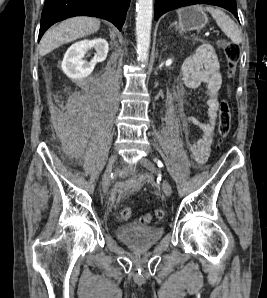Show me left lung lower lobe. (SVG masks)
Here are the masks:
<instances>
[{"mask_svg": "<svg viewBox=\"0 0 267 298\" xmlns=\"http://www.w3.org/2000/svg\"><path fill=\"white\" fill-rule=\"evenodd\" d=\"M194 4H210L223 7L233 13L238 19L236 0H156L155 20L170 10Z\"/></svg>", "mask_w": 267, "mask_h": 298, "instance_id": "1", "label": "left lung lower lobe"}]
</instances>
